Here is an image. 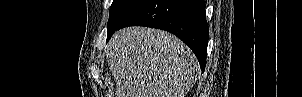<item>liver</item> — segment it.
<instances>
[{
	"label": "liver",
	"mask_w": 302,
	"mask_h": 97,
	"mask_svg": "<svg viewBox=\"0 0 302 97\" xmlns=\"http://www.w3.org/2000/svg\"><path fill=\"white\" fill-rule=\"evenodd\" d=\"M106 56L117 97H185L200 73L192 51L174 35L158 29L116 31Z\"/></svg>",
	"instance_id": "liver-1"
}]
</instances>
